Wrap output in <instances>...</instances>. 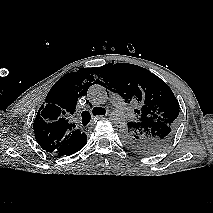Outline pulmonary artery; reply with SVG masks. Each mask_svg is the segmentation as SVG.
Segmentation results:
<instances>
[{"mask_svg": "<svg viewBox=\"0 0 213 213\" xmlns=\"http://www.w3.org/2000/svg\"><path fill=\"white\" fill-rule=\"evenodd\" d=\"M110 101L121 114L127 117L131 115V112L128 106L126 105V103L123 101V99L118 93H111Z\"/></svg>", "mask_w": 213, "mask_h": 213, "instance_id": "e3ab8cb5", "label": "pulmonary artery"}]
</instances>
